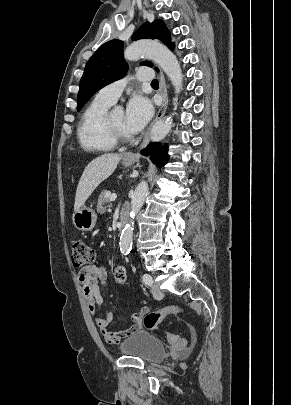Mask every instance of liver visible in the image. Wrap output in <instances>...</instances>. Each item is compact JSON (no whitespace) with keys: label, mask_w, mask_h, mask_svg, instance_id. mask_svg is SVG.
Masks as SVG:
<instances>
[{"label":"liver","mask_w":291,"mask_h":405,"mask_svg":"<svg viewBox=\"0 0 291 405\" xmlns=\"http://www.w3.org/2000/svg\"><path fill=\"white\" fill-rule=\"evenodd\" d=\"M121 158L120 154H103L86 166L76 190L75 212L84 205L99 184L115 171Z\"/></svg>","instance_id":"obj_1"}]
</instances>
